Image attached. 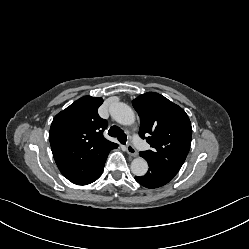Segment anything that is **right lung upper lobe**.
Here are the masks:
<instances>
[{"instance_id":"cb5924a9","label":"right lung upper lobe","mask_w":249,"mask_h":249,"mask_svg":"<svg viewBox=\"0 0 249 249\" xmlns=\"http://www.w3.org/2000/svg\"><path fill=\"white\" fill-rule=\"evenodd\" d=\"M102 98L84 96L57 114L49 139L60 172L78 185L89 184L116 143L103 136L107 121L98 115Z\"/></svg>"}]
</instances>
